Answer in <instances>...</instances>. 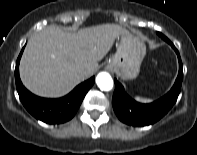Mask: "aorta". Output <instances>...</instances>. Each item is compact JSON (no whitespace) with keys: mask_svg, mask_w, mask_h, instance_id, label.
I'll return each mask as SVG.
<instances>
[{"mask_svg":"<svg viewBox=\"0 0 197 155\" xmlns=\"http://www.w3.org/2000/svg\"><path fill=\"white\" fill-rule=\"evenodd\" d=\"M96 84L103 91H109L113 88V79L107 72H100L96 77Z\"/></svg>","mask_w":197,"mask_h":155,"instance_id":"1","label":"aorta"}]
</instances>
